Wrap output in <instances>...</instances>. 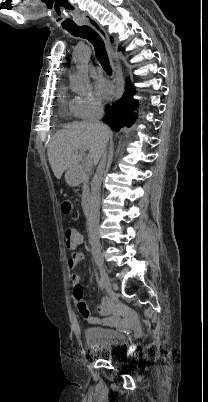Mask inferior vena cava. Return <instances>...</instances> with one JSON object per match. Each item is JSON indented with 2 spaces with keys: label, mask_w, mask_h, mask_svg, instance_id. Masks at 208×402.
I'll return each instance as SVG.
<instances>
[{
  "label": "inferior vena cava",
  "mask_w": 208,
  "mask_h": 402,
  "mask_svg": "<svg viewBox=\"0 0 208 402\" xmlns=\"http://www.w3.org/2000/svg\"><path fill=\"white\" fill-rule=\"evenodd\" d=\"M93 112L91 118H89V124H96V126H101L99 120L104 114L103 106L101 104H92ZM107 154L106 146L102 152L101 162L98 164V168L94 174V178L91 182V202L88 212V232L89 240L91 246H99V208H100V190L101 182L103 176H105V166H106Z\"/></svg>",
  "instance_id": "1"
}]
</instances>
